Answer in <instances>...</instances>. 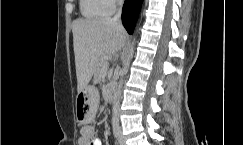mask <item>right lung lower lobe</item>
<instances>
[{"label":"right lung lower lobe","mask_w":243,"mask_h":145,"mask_svg":"<svg viewBox=\"0 0 243 145\" xmlns=\"http://www.w3.org/2000/svg\"><path fill=\"white\" fill-rule=\"evenodd\" d=\"M143 0H125L122 22L129 34L133 32Z\"/></svg>","instance_id":"1"}]
</instances>
